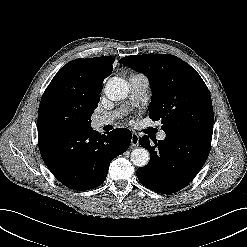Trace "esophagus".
<instances>
[{
  "mask_svg": "<svg viewBox=\"0 0 247 247\" xmlns=\"http://www.w3.org/2000/svg\"><path fill=\"white\" fill-rule=\"evenodd\" d=\"M139 145V136L137 133L133 132L131 137V148H135Z\"/></svg>",
  "mask_w": 247,
  "mask_h": 247,
  "instance_id": "obj_1",
  "label": "esophagus"
}]
</instances>
